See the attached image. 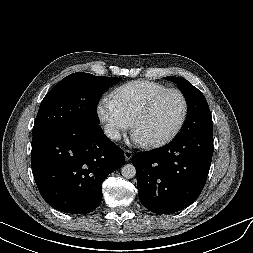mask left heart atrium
Instances as JSON below:
<instances>
[{
  "label": "left heart atrium",
  "mask_w": 253,
  "mask_h": 253,
  "mask_svg": "<svg viewBox=\"0 0 253 253\" xmlns=\"http://www.w3.org/2000/svg\"><path fill=\"white\" fill-rule=\"evenodd\" d=\"M132 142L139 146H145L147 144V140L140 136L136 131L132 134Z\"/></svg>",
  "instance_id": "obj_1"
}]
</instances>
